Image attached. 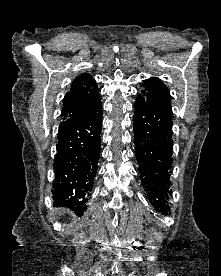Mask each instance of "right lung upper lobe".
Returning a JSON list of instances; mask_svg holds the SVG:
<instances>
[{
  "mask_svg": "<svg viewBox=\"0 0 221 276\" xmlns=\"http://www.w3.org/2000/svg\"><path fill=\"white\" fill-rule=\"evenodd\" d=\"M97 88L90 74L83 73L76 77L64 97L61 117L64 120L79 118L90 112L101 101Z\"/></svg>",
  "mask_w": 221,
  "mask_h": 276,
  "instance_id": "1",
  "label": "right lung upper lobe"
}]
</instances>
